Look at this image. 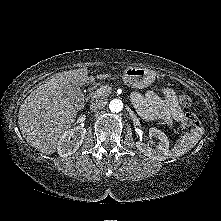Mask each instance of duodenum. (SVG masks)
Here are the masks:
<instances>
[{
	"label": "duodenum",
	"instance_id": "1",
	"mask_svg": "<svg viewBox=\"0 0 221 221\" xmlns=\"http://www.w3.org/2000/svg\"><path fill=\"white\" fill-rule=\"evenodd\" d=\"M94 81L92 79H89L86 81V87H91L93 85Z\"/></svg>",
	"mask_w": 221,
	"mask_h": 221
}]
</instances>
